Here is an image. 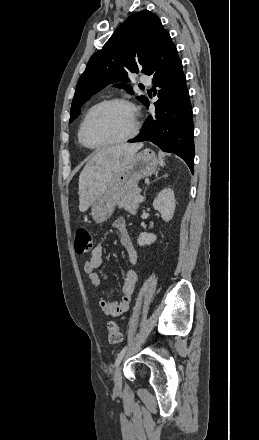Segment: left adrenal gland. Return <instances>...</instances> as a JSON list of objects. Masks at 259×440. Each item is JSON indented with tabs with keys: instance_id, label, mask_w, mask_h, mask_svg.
<instances>
[{
	"instance_id": "obj_1",
	"label": "left adrenal gland",
	"mask_w": 259,
	"mask_h": 440,
	"mask_svg": "<svg viewBox=\"0 0 259 440\" xmlns=\"http://www.w3.org/2000/svg\"><path fill=\"white\" fill-rule=\"evenodd\" d=\"M168 176V174H164L162 177H167ZM162 177H159V178H157L156 180H158V179H161ZM155 180V181H156ZM146 189H147V187L145 188V191H146ZM144 195H145V192H144Z\"/></svg>"
}]
</instances>
